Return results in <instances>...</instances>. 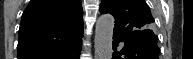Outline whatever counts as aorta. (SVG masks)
<instances>
[{
  "label": "aorta",
  "instance_id": "obj_1",
  "mask_svg": "<svg viewBox=\"0 0 193 59\" xmlns=\"http://www.w3.org/2000/svg\"><path fill=\"white\" fill-rule=\"evenodd\" d=\"M114 18L110 14L102 15L98 18L95 27V59L112 58Z\"/></svg>",
  "mask_w": 193,
  "mask_h": 59
}]
</instances>
